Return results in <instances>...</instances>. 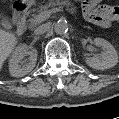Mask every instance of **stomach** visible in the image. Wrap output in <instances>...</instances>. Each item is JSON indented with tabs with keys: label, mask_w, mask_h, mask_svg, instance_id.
I'll use <instances>...</instances> for the list:
<instances>
[{
	"label": "stomach",
	"mask_w": 119,
	"mask_h": 119,
	"mask_svg": "<svg viewBox=\"0 0 119 119\" xmlns=\"http://www.w3.org/2000/svg\"><path fill=\"white\" fill-rule=\"evenodd\" d=\"M23 4H25L26 6L30 7L33 4H35L36 0H22Z\"/></svg>",
	"instance_id": "1"
}]
</instances>
